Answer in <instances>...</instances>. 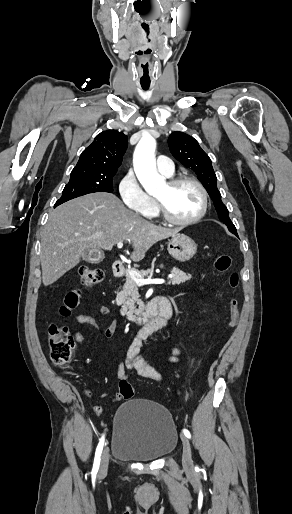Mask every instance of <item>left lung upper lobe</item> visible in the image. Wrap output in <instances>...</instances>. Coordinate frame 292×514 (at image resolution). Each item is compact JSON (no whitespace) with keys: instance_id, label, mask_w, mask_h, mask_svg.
<instances>
[{"instance_id":"1","label":"left lung upper lobe","mask_w":292,"mask_h":514,"mask_svg":"<svg viewBox=\"0 0 292 514\" xmlns=\"http://www.w3.org/2000/svg\"><path fill=\"white\" fill-rule=\"evenodd\" d=\"M168 145L172 155L186 168L196 173L212 198L219 219L228 226L231 233L238 235L228 216V209L221 200V194L217 189L216 174L209 156L193 137L183 132H173L168 138Z\"/></svg>"}]
</instances>
